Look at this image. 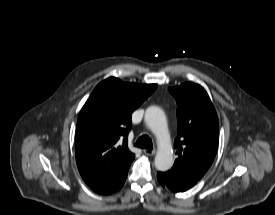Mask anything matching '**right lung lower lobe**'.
Instances as JSON below:
<instances>
[{
	"label": "right lung lower lobe",
	"mask_w": 275,
	"mask_h": 215,
	"mask_svg": "<svg viewBox=\"0 0 275 215\" xmlns=\"http://www.w3.org/2000/svg\"><path fill=\"white\" fill-rule=\"evenodd\" d=\"M127 172H125L123 175H121L119 177L108 179V180L102 181L100 183L91 185L90 188L100 194L113 193V192L119 190L123 186V184L126 180V177H127Z\"/></svg>",
	"instance_id": "right-lung-lower-lobe-1"
}]
</instances>
